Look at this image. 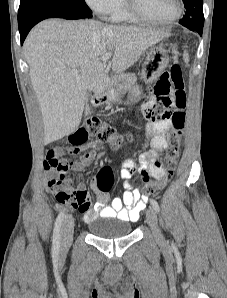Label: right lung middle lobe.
<instances>
[{
  "label": "right lung middle lobe",
  "mask_w": 227,
  "mask_h": 298,
  "mask_svg": "<svg viewBox=\"0 0 227 298\" xmlns=\"http://www.w3.org/2000/svg\"><path fill=\"white\" fill-rule=\"evenodd\" d=\"M45 8H63L92 13L84 0H20L18 22L32 13Z\"/></svg>",
  "instance_id": "dd1d6c3e"
}]
</instances>
